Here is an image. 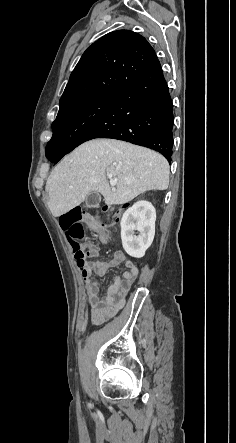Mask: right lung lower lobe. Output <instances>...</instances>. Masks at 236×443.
<instances>
[{
	"label": "right lung lower lobe",
	"instance_id": "1",
	"mask_svg": "<svg viewBox=\"0 0 236 443\" xmlns=\"http://www.w3.org/2000/svg\"><path fill=\"white\" fill-rule=\"evenodd\" d=\"M173 104L159 60L137 81L116 94L84 123L67 148H46V157L57 163L81 143L113 138L160 152L171 162Z\"/></svg>",
	"mask_w": 236,
	"mask_h": 443
}]
</instances>
